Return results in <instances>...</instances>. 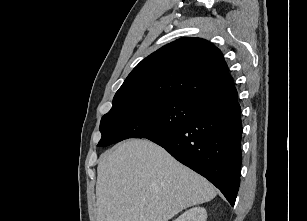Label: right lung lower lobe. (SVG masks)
<instances>
[{
  "instance_id": "1",
  "label": "right lung lower lobe",
  "mask_w": 307,
  "mask_h": 221,
  "mask_svg": "<svg viewBox=\"0 0 307 221\" xmlns=\"http://www.w3.org/2000/svg\"><path fill=\"white\" fill-rule=\"evenodd\" d=\"M241 138L237 95L209 104L187 124L147 139L207 178L234 206L240 184Z\"/></svg>"
}]
</instances>
